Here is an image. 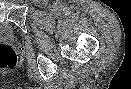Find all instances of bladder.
<instances>
[{"label": "bladder", "mask_w": 131, "mask_h": 89, "mask_svg": "<svg viewBox=\"0 0 131 89\" xmlns=\"http://www.w3.org/2000/svg\"><path fill=\"white\" fill-rule=\"evenodd\" d=\"M13 31L9 24L0 23V38H12Z\"/></svg>", "instance_id": "1"}]
</instances>
